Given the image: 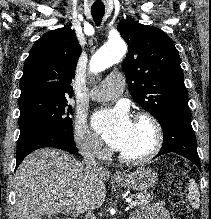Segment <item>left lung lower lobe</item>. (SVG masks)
I'll return each mask as SVG.
<instances>
[{
	"instance_id": "1",
	"label": "left lung lower lobe",
	"mask_w": 211,
	"mask_h": 219,
	"mask_svg": "<svg viewBox=\"0 0 211 219\" xmlns=\"http://www.w3.org/2000/svg\"><path fill=\"white\" fill-rule=\"evenodd\" d=\"M163 130V145L154 157L174 152L188 158L200 169L195 133L191 127L190 111H173L168 113L160 123Z\"/></svg>"
}]
</instances>
